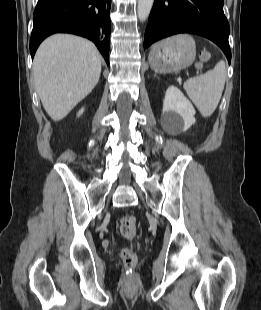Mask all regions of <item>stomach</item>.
<instances>
[{
    "label": "stomach",
    "mask_w": 261,
    "mask_h": 310,
    "mask_svg": "<svg viewBox=\"0 0 261 310\" xmlns=\"http://www.w3.org/2000/svg\"><path fill=\"white\" fill-rule=\"evenodd\" d=\"M195 56L194 39L178 35L155 44L149 54V63L157 73H172L189 67Z\"/></svg>",
    "instance_id": "stomach-1"
}]
</instances>
